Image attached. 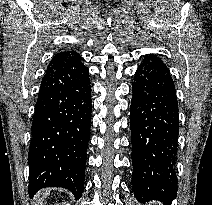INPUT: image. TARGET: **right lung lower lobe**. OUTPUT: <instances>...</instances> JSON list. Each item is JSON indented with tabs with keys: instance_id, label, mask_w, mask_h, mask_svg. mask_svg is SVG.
Here are the masks:
<instances>
[{
	"instance_id": "98d812e1",
	"label": "right lung lower lobe",
	"mask_w": 212,
	"mask_h": 205,
	"mask_svg": "<svg viewBox=\"0 0 212 205\" xmlns=\"http://www.w3.org/2000/svg\"><path fill=\"white\" fill-rule=\"evenodd\" d=\"M92 111L88 68L75 51L57 53L41 82L31 126L29 196L45 187L84 190Z\"/></svg>"
}]
</instances>
